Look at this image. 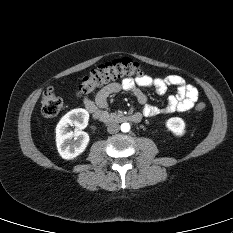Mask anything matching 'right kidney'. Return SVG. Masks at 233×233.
<instances>
[{
  "instance_id": "1",
  "label": "right kidney",
  "mask_w": 233,
  "mask_h": 233,
  "mask_svg": "<svg viewBox=\"0 0 233 233\" xmlns=\"http://www.w3.org/2000/svg\"><path fill=\"white\" fill-rule=\"evenodd\" d=\"M89 113L82 108L73 109L66 113L56 126V144L59 154L63 159H73L86 149L89 135L84 132L88 125ZM70 126L75 130L68 131Z\"/></svg>"
}]
</instances>
